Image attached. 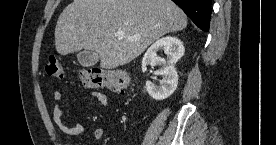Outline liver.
Returning <instances> with one entry per match:
<instances>
[{"instance_id": "6515ba94", "label": "liver", "mask_w": 276, "mask_h": 145, "mask_svg": "<svg viewBox=\"0 0 276 145\" xmlns=\"http://www.w3.org/2000/svg\"><path fill=\"white\" fill-rule=\"evenodd\" d=\"M186 26L185 13L171 0H73L58 18L55 47L61 55L82 49L96 52L102 68L114 69ZM118 30L125 37H117Z\"/></svg>"}]
</instances>
